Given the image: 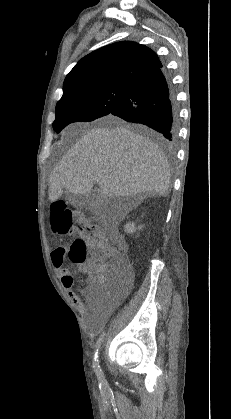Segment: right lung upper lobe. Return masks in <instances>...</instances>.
I'll return each instance as SVG.
<instances>
[{"label": "right lung upper lobe", "instance_id": "cb5924a9", "mask_svg": "<svg viewBox=\"0 0 231 419\" xmlns=\"http://www.w3.org/2000/svg\"><path fill=\"white\" fill-rule=\"evenodd\" d=\"M161 66L157 54L145 45L131 41L110 44L86 55L73 67L64 80L61 99L82 88L133 87L138 80Z\"/></svg>", "mask_w": 231, "mask_h": 419}]
</instances>
